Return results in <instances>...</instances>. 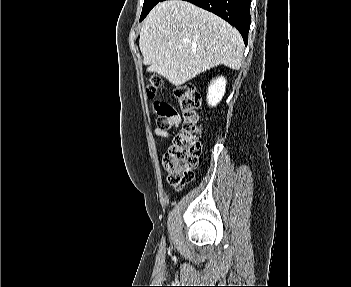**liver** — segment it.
I'll use <instances>...</instances> for the list:
<instances>
[{
    "label": "liver",
    "mask_w": 351,
    "mask_h": 287,
    "mask_svg": "<svg viewBox=\"0 0 351 287\" xmlns=\"http://www.w3.org/2000/svg\"><path fill=\"white\" fill-rule=\"evenodd\" d=\"M143 64L175 86L218 65L241 67L239 31L215 14L182 0L158 3L145 18L139 38Z\"/></svg>",
    "instance_id": "liver-1"
}]
</instances>
